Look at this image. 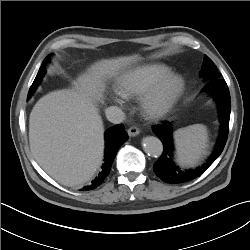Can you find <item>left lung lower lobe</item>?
<instances>
[{
    "label": "left lung lower lobe",
    "instance_id": "1",
    "mask_svg": "<svg viewBox=\"0 0 250 250\" xmlns=\"http://www.w3.org/2000/svg\"><path fill=\"white\" fill-rule=\"evenodd\" d=\"M204 90L212 94L219 106L221 126L220 135L215 145V149L208 160L201 167L194 170H181L173 163L174 146L171 124L166 122L164 125L153 127V132L159 137L163 144V153L153 165V170L155 174L166 183H183L195 179L206 171V169L219 157L224 149L228 136L231 109L229 89L224 80L216 79L208 81Z\"/></svg>",
    "mask_w": 250,
    "mask_h": 250
}]
</instances>
